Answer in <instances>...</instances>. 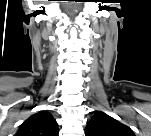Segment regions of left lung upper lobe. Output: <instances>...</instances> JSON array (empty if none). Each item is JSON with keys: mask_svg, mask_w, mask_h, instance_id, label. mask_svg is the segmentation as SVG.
<instances>
[{"mask_svg": "<svg viewBox=\"0 0 151 136\" xmlns=\"http://www.w3.org/2000/svg\"><path fill=\"white\" fill-rule=\"evenodd\" d=\"M85 131L87 136H134L128 126L103 112L91 118Z\"/></svg>", "mask_w": 151, "mask_h": 136, "instance_id": "1", "label": "left lung upper lobe"}]
</instances>
